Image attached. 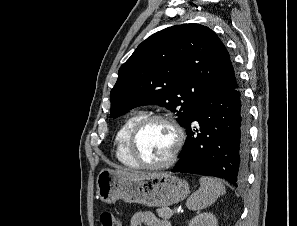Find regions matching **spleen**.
<instances>
[{
    "label": "spleen",
    "mask_w": 297,
    "mask_h": 226,
    "mask_svg": "<svg viewBox=\"0 0 297 226\" xmlns=\"http://www.w3.org/2000/svg\"><path fill=\"white\" fill-rule=\"evenodd\" d=\"M200 188L186 202L189 210L197 211L212 205L219 196L225 193L222 182L212 177H201Z\"/></svg>",
    "instance_id": "3e777b00"
}]
</instances>
